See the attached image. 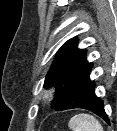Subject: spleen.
Masks as SVG:
<instances>
[{
  "instance_id": "1",
  "label": "spleen",
  "mask_w": 117,
  "mask_h": 131,
  "mask_svg": "<svg viewBox=\"0 0 117 131\" xmlns=\"http://www.w3.org/2000/svg\"><path fill=\"white\" fill-rule=\"evenodd\" d=\"M68 126L72 131H103L100 122L94 116L86 113L73 116Z\"/></svg>"
}]
</instances>
